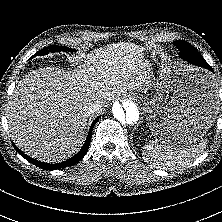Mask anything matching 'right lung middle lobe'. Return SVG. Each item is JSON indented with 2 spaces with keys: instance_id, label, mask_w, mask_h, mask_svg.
Listing matches in <instances>:
<instances>
[{
  "instance_id": "obj_1",
  "label": "right lung middle lobe",
  "mask_w": 222,
  "mask_h": 222,
  "mask_svg": "<svg viewBox=\"0 0 222 222\" xmlns=\"http://www.w3.org/2000/svg\"><path fill=\"white\" fill-rule=\"evenodd\" d=\"M59 52V51H65V52H71V53H73L74 51H76V50H74V49H70V48H64V47H60V46H49V47H47V48H44V49H42V50H40L39 52H37L35 55H46V54H48L49 52ZM34 55V56H35ZM33 56V57H34Z\"/></svg>"
}]
</instances>
